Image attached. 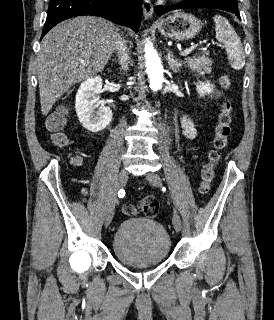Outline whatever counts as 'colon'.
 <instances>
[{
    "instance_id": "1",
    "label": "colon",
    "mask_w": 274,
    "mask_h": 320,
    "mask_svg": "<svg viewBox=\"0 0 274 320\" xmlns=\"http://www.w3.org/2000/svg\"><path fill=\"white\" fill-rule=\"evenodd\" d=\"M65 122L66 110L63 108L57 109L47 118L46 128L51 132L52 142L56 145H66L68 143L67 137L62 133V129L65 127ZM231 123V107L229 104L225 103L217 120L214 146L210 153V160L202 172L201 193L203 195L208 193L210 184L214 177L216 165L226 150L231 134ZM158 210V202L154 198L144 199L140 206L126 204L122 208L123 213L127 216H135L142 213L148 218L155 217Z\"/></svg>"
}]
</instances>
